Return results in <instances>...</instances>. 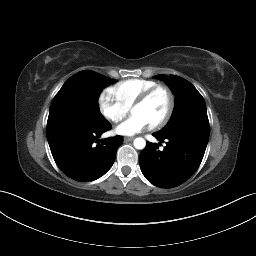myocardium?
<instances>
[{
  "label": "myocardium",
  "mask_w": 256,
  "mask_h": 256,
  "mask_svg": "<svg viewBox=\"0 0 256 256\" xmlns=\"http://www.w3.org/2000/svg\"><path fill=\"white\" fill-rule=\"evenodd\" d=\"M158 91H164L168 97V108L166 110V113L163 115V117L158 120L157 122L150 124V127L152 129H158L163 127L171 118L174 107H175V96L172 90L165 86V85H156L154 87H151L147 89L145 92H143L133 103L132 108L135 106L143 105Z\"/></svg>",
  "instance_id": "myocardium-1"
}]
</instances>
